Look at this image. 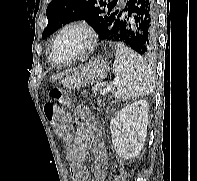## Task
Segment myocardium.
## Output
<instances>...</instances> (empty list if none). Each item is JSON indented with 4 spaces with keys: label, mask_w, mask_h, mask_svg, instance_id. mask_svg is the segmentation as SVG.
<instances>
[{
    "label": "myocardium",
    "mask_w": 197,
    "mask_h": 181,
    "mask_svg": "<svg viewBox=\"0 0 197 181\" xmlns=\"http://www.w3.org/2000/svg\"><path fill=\"white\" fill-rule=\"evenodd\" d=\"M69 29H79L83 31L86 34V42L84 46L81 48L80 51H78L74 56L67 60H58L56 57V44L60 36L66 32ZM97 43V33L95 29L87 22L85 21H76V22H71L63 26L55 35L53 42H52V47H51V59L57 63V64H69L77 59L85 56L86 54L90 53L95 45Z\"/></svg>",
    "instance_id": "1"
}]
</instances>
